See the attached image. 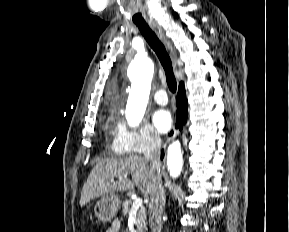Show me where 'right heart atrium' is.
I'll return each mask as SVG.
<instances>
[{"mask_svg": "<svg viewBox=\"0 0 289 232\" xmlns=\"http://www.w3.org/2000/svg\"><path fill=\"white\" fill-rule=\"evenodd\" d=\"M160 135L150 126L130 128L118 121L113 131L112 149L117 154H145L159 149Z\"/></svg>", "mask_w": 289, "mask_h": 232, "instance_id": "right-heart-atrium-1", "label": "right heart atrium"}]
</instances>
